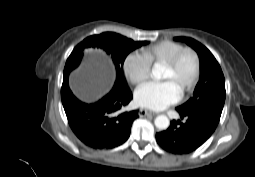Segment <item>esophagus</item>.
I'll list each match as a JSON object with an SVG mask.
<instances>
[{"instance_id": "34e87169", "label": "esophagus", "mask_w": 255, "mask_h": 177, "mask_svg": "<svg viewBox=\"0 0 255 177\" xmlns=\"http://www.w3.org/2000/svg\"><path fill=\"white\" fill-rule=\"evenodd\" d=\"M138 115L139 116H152V115L154 116L156 115V113L147 109L140 108L138 111Z\"/></svg>"}]
</instances>
